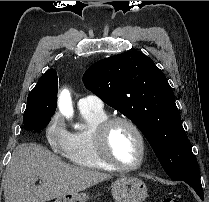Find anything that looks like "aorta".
Instances as JSON below:
<instances>
[{
    "label": "aorta",
    "mask_w": 209,
    "mask_h": 202,
    "mask_svg": "<svg viewBox=\"0 0 209 202\" xmlns=\"http://www.w3.org/2000/svg\"><path fill=\"white\" fill-rule=\"evenodd\" d=\"M59 109L66 117H71L73 114L71 95L68 89L62 90L59 96ZM77 128L80 126L77 125Z\"/></svg>",
    "instance_id": "762f6f07"
}]
</instances>
